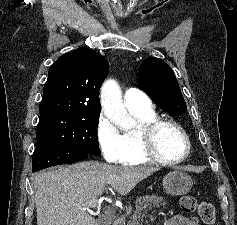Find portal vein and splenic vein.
I'll return each mask as SVG.
<instances>
[{"label":"portal vein and splenic vein","instance_id":"18ae733b","mask_svg":"<svg viewBox=\"0 0 237 225\" xmlns=\"http://www.w3.org/2000/svg\"><path fill=\"white\" fill-rule=\"evenodd\" d=\"M101 203H102V200H98V199H93V200H90L88 203H87V207H92V208H101Z\"/></svg>","mask_w":237,"mask_h":225}]
</instances>
